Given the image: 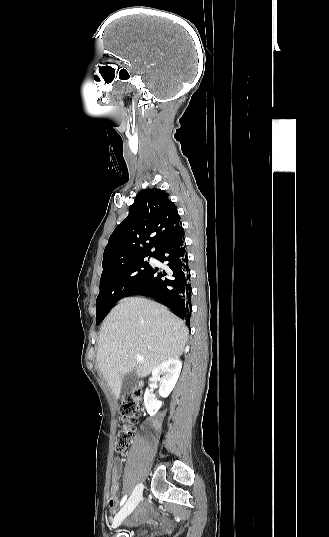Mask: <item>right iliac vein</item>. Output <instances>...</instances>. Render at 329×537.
<instances>
[{
    "instance_id": "right-iliac-vein-1",
    "label": "right iliac vein",
    "mask_w": 329,
    "mask_h": 537,
    "mask_svg": "<svg viewBox=\"0 0 329 537\" xmlns=\"http://www.w3.org/2000/svg\"><path fill=\"white\" fill-rule=\"evenodd\" d=\"M142 493H143V485L142 483H139L133 490L128 501L125 503V505L121 508V510L114 517L113 522H112L113 529L117 528L123 522V520L133 512V510L136 508V506L138 505L139 501L142 498Z\"/></svg>"
}]
</instances>
